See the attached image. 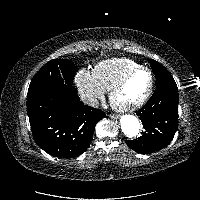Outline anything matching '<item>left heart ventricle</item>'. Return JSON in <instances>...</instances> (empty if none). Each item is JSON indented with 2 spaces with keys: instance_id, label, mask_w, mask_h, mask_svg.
<instances>
[{
  "instance_id": "obj_1",
  "label": "left heart ventricle",
  "mask_w": 200,
  "mask_h": 200,
  "mask_svg": "<svg viewBox=\"0 0 200 200\" xmlns=\"http://www.w3.org/2000/svg\"><path fill=\"white\" fill-rule=\"evenodd\" d=\"M150 84V75L147 71L134 74L115 96V102L121 105L131 104L140 100Z\"/></svg>"
}]
</instances>
